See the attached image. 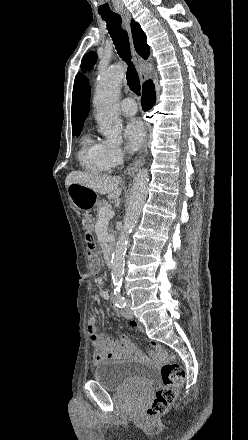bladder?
<instances>
[{
	"label": "bladder",
	"mask_w": 248,
	"mask_h": 440,
	"mask_svg": "<svg viewBox=\"0 0 248 440\" xmlns=\"http://www.w3.org/2000/svg\"><path fill=\"white\" fill-rule=\"evenodd\" d=\"M92 375L108 391H146L153 383L155 372L152 367L138 361L119 359L98 365Z\"/></svg>",
	"instance_id": "31cf9c89"
}]
</instances>
